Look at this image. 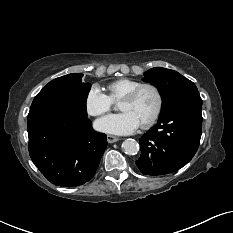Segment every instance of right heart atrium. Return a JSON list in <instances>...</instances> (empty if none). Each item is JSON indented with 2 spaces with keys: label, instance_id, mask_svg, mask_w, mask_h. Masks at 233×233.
Here are the masks:
<instances>
[{
  "label": "right heart atrium",
  "instance_id": "obj_1",
  "mask_svg": "<svg viewBox=\"0 0 233 233\" xmlns=\"http://www.w3.org/2000/svg\"><path fill=\"white\" fill-rule=\"evenodd\" d=\"M112 100L98 85H92L85 97V108L91 116H102L111 110Z\"/></svg>",
  "mask_w": 233,
  "mask_h": 233
}]
</instances>
